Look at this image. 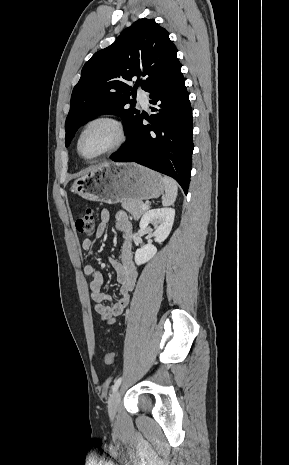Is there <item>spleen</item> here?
Here are the masks:
<instances>
[{"mask_svg":"<svg viewBox=\"0 0 289 465\" xmlns=\"http://www.w3.org/2000/svg\"><path fill=\"white\" fill-rule=\"evenodd\" d=\"M163 183L165 187V195L162 198V205L170 206L176 200L178 193V185L175 180L167 176L163 177Z\"/></svg>","mask_w":289,"mask_h":465,"instance_id":"1","label":"spleen"}]
</instances>
